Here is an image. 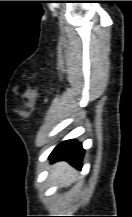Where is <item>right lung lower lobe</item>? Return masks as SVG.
I'll use <instances>...</instances> for the list:
<instances>
[{
    "instance_id": "1",
    "label": "right lung lower lobe",
    "mask_w": 132,
    "mask_h": 217,
    "mask_svg": "<svg viewBox=\"0 0 132 217\" xmlns=\"http://www.w3.org/2000/svg\"><path fill=\"white\" fill-rule=\"evenodd\" d=\"M83 155L84 150L81 143H77L75 140H67L57 145L49 158L51 162L68 161L71 165L81 169Z\"/></svg>"
}]
</instances>
